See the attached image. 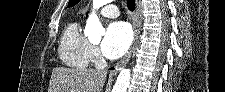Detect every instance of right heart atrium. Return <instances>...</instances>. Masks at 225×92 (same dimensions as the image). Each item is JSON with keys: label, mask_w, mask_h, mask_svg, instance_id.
Masks as SVG:
<instances>
[{"label": "right heart atrium", "mask_w": 225, "mask_h": 92, "mask_svg": "<svg viewBox=\"0 0 225 92\" xmlns=\"http://www.w3.org/2000/svg\"><path fill=\"white\" fill-rule=\"evenodd\" d=\"M90 61L96 65L101 63V55L97 46L92 45Z\"/></svg>", "instance_id": "1"}]
</instances>
